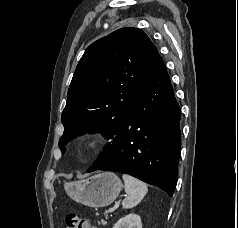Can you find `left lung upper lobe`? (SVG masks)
<instances>
[{"label":"left lung upper lobe","mask_w":238,"mask_h":228,"mask_svg":"<svg viewBox=\"0 0 238 228\" xmlns=\"http://www.w3.org/2000/svg\"><path fill=\"white\" fill-rule=\"evenodd\" d=\"M159 55L140 29L125 27L92 43L79 61L68 89L59 146L86 132L112 139L92 167L111 159L120 126Z\"/></svg>","instance_id":"left-lung-upper-lobe-1"}]
</instances>
